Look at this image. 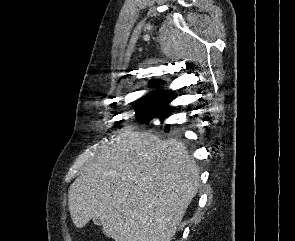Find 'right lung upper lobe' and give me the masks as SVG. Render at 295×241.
<instances>
[{
    "mask_svg": "<svg viewBox=\"0 0 295 241\" xmlns=\"http://www.w3.org/2000/svg\"><path fill=\"white\" fill-rule=\"evenodd\" d=\"M162 81H151L150 87L161 85ZM177 97L176 94L168 91L151 92L142 97L137 103L135 109L157 114H170L169 103Z\"/></svg>",
    "mask_w": 295,
    "mask_h": 241,
    "instance_id": "right-lung-upper-lobe-1",
    "label": "right lung upper lobe"
}]
</instances>
